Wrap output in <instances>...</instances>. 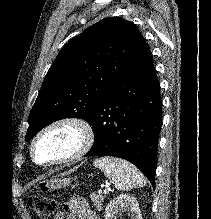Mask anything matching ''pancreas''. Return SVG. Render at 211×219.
<instances>
[{
  "label": "pancreas",
  "mask_w": 211,
  "mask_h": 219,
  "mask_svg": "<svg viewBox=\"0 0 211 219\" xmlns=\"http://www.w3.org/2000/svg\"><path fill=\"white\" fill-rule=\"evenodd\" d=\"M91 200L94 203V206L96 207L97 210H102V202L104 201V196H102L99 193H93L90 196Z\"/></svg>",
  "instance_id": "obj_1"
}]
</instances>
